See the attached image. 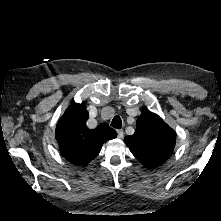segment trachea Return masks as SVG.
<instances>
[{"instance_id": "1", "label": "trachea", "mask_w": 221, "mask_h": 221, "mask_svg": "<svg viewBox=\"0 0 221 221\" xmlns=\"http://www.w3.org/2000/svg\"><path fill=\"white\" fill-rule=\"evenodd\" d=\"M111 126L114 128H121L122 127V120L119 116H115L111 122Z\"/></svg>"}]
</instances>
